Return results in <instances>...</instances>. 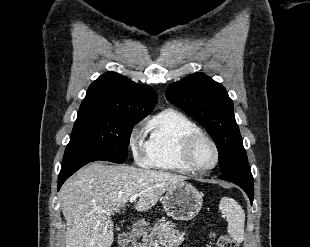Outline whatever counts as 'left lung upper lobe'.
I'll return each instance as SVG.
<instances>
[{
  "instance_id": "obj_1",
  "label": "left lung upper lobe",
  "mask_w": 310,
  "mask_h": 247,
  "mask_svg": "<svg viewBox=\"0 0 310 247\" xmlns=\"http://www.w3.org/2000/svg\"><path fill=\"white\" fill-rule=\"evenodd\" d=\"M166 98L206 128L217 146L222 174L249 168L233 102L220 83L203 73L192 74L170 85Z\"/></svg>"
}]
</instances>
